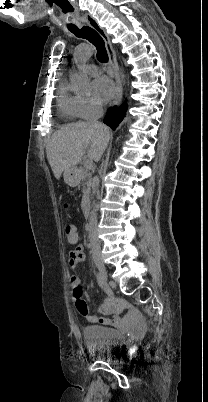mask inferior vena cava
Here are the masks:
<instances>
[{"mask_svg":"<svg viewBox=\"0 0 208 402\" xmlns=\"http://www.w3.org/2000/svg\"><path fill=\"white\" fill-rule=\"evenodd\" d=\"M94 108H95V116H93V118H91L90 122H93V124H99V122H97L98 118H100V116H102L103 114V110L101 108V106H98V104H93ZM100 176H104V172H102V170H100L99 172ZM99 188V178L98 176H96V178H94V182L92 184V190H93V194H96L97 190ZM96 210H93V212H91V216H90V220H89V242L90 244H94V246H100V242H99V238H98V234H97V216L95 214Z\"/></svg>","mask_w":208,"mask_h":402,"instance_id":"obj_1","label":"inferior vena cava"}]
</instances>
